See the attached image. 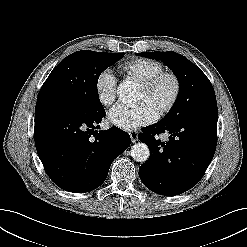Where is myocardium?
Listing matches in <instances>:
<instances>
[{
  "label": "myocardium",
  "mask_w": 247,
  "mask_h": 247,
  "mask_svg": "<svg viewBox=\"0 0 247 247\" xmlns=\"http://www.w3.org/2000/svg\"><path fill=\"white\" fill-rule=\"evenodd\" d=\"M164 79H170L173 82L174 88L169 100L159 107V115H165L170 112L180 99L182 93V81L180 77L174 72L162 71L142 82V88L147 94H150Z\"/></svg>",
  "instance_id": "obj_1"
}]
</instances>
